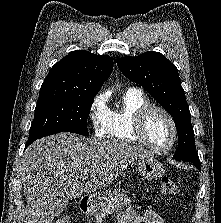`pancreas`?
<instances>
[{"mask_svg": "<svg viewBox=\"0 0 221 223\" xmlns=\"http://www.w3.org/2000/svg\"><path fill=\"white\" fill-rule=\"evenodd\" d=\"M130 204L131 200L126 195L125 191L117 189L113 192V195L106 199L101 209L95 214V219L97 220V223H101L106 216L117 212Z\"/></svg>", "mask_w": 221, "mask_h": 223, "instance_id": "pancreas-1", "label": "pancreas"}]
</instances>
